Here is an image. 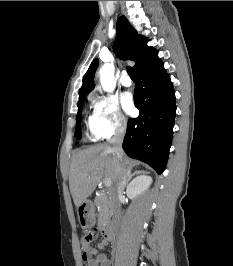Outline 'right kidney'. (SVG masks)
<instances>
[{"label": "right kidney", "instance_id": "right-kidney-1", "mask_svg": "<svg viewBox=\"0 0 233 266\" xmlns=\"http://www.w3.org/2000/svg\"><path fill=\"white\" fill-rule=\"evenodd\" d=\"M152 183L150 176L141 175L133 179L127 187V195L130 199H135L138 195L146 191Z\"/></svg>", "mask_w": 233, "mask_h": 266}]
</instances>
